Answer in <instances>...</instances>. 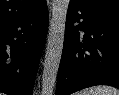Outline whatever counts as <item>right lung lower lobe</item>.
Segmentation results:
<instances>
[{"label": "right lung lower lobe", "instance_id": "obj_1", "mask_svg": "<svg viewBox=\"0 0 119 95\" xmlns=\"http://www.w3.org/2000/svg\"><path fill=\"white\" fill-rule=\"evenodd\" d=\"M47 27L46 0L30 13L0 25V92L32 95Z\"/></svg>", "mask_w": 119, "mask_h": 95}]
</instances>
